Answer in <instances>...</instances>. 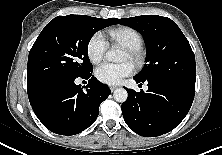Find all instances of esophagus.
Returning a JSON list of instances; mask_svg holds the SVG:
<instances>
[{
  "label": "esophagus",
  "instance_id": "34e87169",
  "mask_svg": "<svg viewBox=\"0 0 222 155\" xmlns=\"http://www.w3.org/2000/svg\"><path fill=\"white\" fill-rule=\"evenodd\" d=\"M109 88H110L111 92H114L118 87L111 85V86H109Z\"/></svg>",
  "mask_w": 222,
  "mask_h": 155
}]
</instances>
